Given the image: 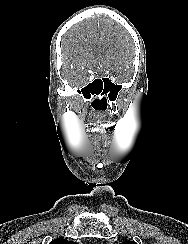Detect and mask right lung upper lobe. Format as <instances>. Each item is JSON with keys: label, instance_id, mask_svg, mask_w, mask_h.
Listing matches in <instances>:
<instances>
[{"label": "right lung upper lobe", "instance_id": "right-lung-upper-lobe-1", "mask_svg": "<svg viewBox=\"0 0 188 244\" xmlns=\"http://www.w3.org/2000/svg\"><path fill=\"white\" fill-rule=\"evenodd\" d=\"M50 244H77L73 241H68L66 239H54L53 241L50 242Z\"/></svg>", "mask_w": 188, "mask_h": 244}]
</instances>
